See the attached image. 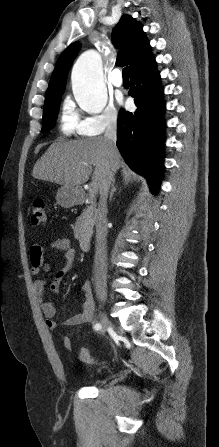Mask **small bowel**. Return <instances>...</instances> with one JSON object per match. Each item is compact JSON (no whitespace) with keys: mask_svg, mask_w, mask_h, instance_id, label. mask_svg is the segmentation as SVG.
<instances>
[{"mask_svg":"<svg viewBox=\"0 0 219 447\" xmlns=\"http://www.w3.org/2000/svg\"><path fill=\"white\" fill-rule=\"evenodd\" d=\"M52 247L58 251L64 252L66 258L65 265L54 272L52 281L49 285H47V282L42 278H37L34 281V291L38 300L40 301L41 309L46 318L47 327L51 330H55L60 326L74 327L92 322L95 315V302L89 282L82 283L80 287V291L83 294L82 312L69 317L62 322L55 319V304L53 302L43 300L47 289L54 293L59 291L61 282L73 270L74 267L76 252L71 247V241L69 238L64 237L57 239L52 243ZM30 262L31 271L34 275H40L42 273L49 272L52 269L51 265L47 263L44 258V246L40 242L35 243L31 247ZM67 343L71 347V340L68 337H64L63 344L65 348H68ZM85 351V349H81L78 353V357L81 361H85L83 357V353Z\"/></svg>","mask_w":219,"mask_h":447,"instance_id":"1","label":"small bowel"}]
</instances>
